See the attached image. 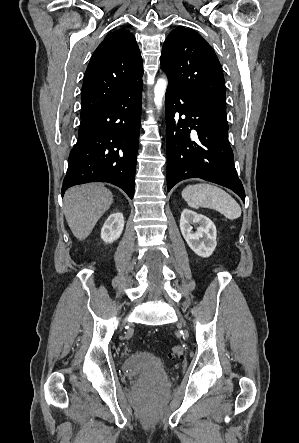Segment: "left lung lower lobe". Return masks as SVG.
Here are the masks:
<instances>
[{
	"mask_svg": "<svg viewBox=\"0 0 299 443\" xmlns=\"http://www.w3.org/2000/svg\"><path fill=\"white\" fill-rule=\"evenodd\" d=\"M168 191L179 181L201 178L233 190L244 201L228 141L226 116L169 83L165 100ZM195 130V135L191 131Z\"/></svg>",
	"mask_w": 299,
	"mask_h": 443,
	"instance_id": "0a47b994",
	"label": "left lung lower lobe"
}]
</instances>
